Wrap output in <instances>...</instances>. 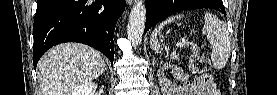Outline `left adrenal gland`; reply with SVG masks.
Returning a JSON list of instances; mask_svg holds the SVG:
<instances>
[{
  "instance_id": "left-adrenal-gland-1",
  "label": "left adrenal gland",
  "mask_w": 277,
  "mask_h": 95,
  "mask_svg": "<svg viewBox=\"0 0 277 95\" xmlns=\"http://www.w3.org/2000/svg\"><path fill=\"white\" fill-rule=\"evenodd\" d=\"M155 62V58L153 59V63Z\"/></svg>"
}]
</instances>
